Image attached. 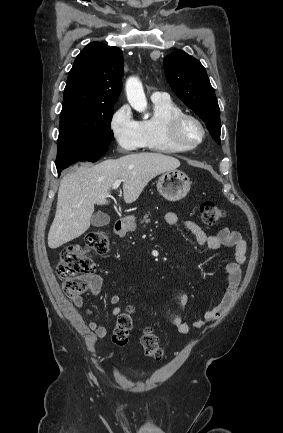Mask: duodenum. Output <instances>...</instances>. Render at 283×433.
<instances>
[{"label":"duodenum","instance_id":"duodenum-1","mask_svg":"<svg viewBox=\"0 0 283 433\" xmlns=\"http://www.w3.org/2000/svg\"><path fill=\"white\" fill-rule=\"evenodd\" d=\"M127 230V223L124 220H118L115 223V232L118 235H123L125 234Z\"/></svg>","mask_w":283,"mask_h":433}]
</instances>
